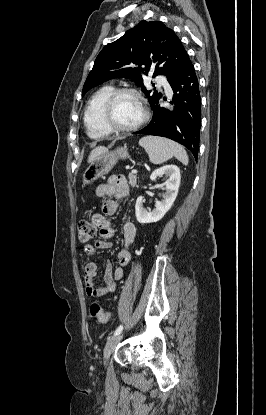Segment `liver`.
<instances>
[{"label": "liver", "instance_id": "obj_1", "mask_svg": "<svg viewBox=\"0 0 266 415\" xmlns=\"http://www.w3.org/2000/svg\"><path fill=\"white\" fill-rule=\"evenodd\" d=\"M106 150H107V148L104 147V146H98V147L94 148L90 152V155L88 157V162H91L96 156L100 155L101 153H103Z\"/></svg>", "mask_w": 266, "mask_h": 415}]
</instances>
